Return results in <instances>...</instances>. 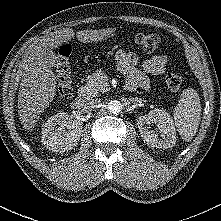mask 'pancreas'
Instances as JSON below:
<instances>
[{
	"instance_id": "1",
	"label": "pancreas",
	"mask_w": 221,
	"mask_h": 221,
	"mask_svg": "<svg viewBox=\"0 0 221 221\" xmlns=\"http://www.w3.org/2000/svg\"><path fill=\"white\" fill-rule=\"evenodd\" d=\"M107 81L108 76L101 70H97L88 76L87 83L80 89V95L93 97L98 96L101 92H106L108 86Z\"/></svg>"
}]
</instances>
